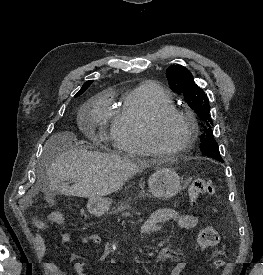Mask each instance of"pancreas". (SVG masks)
Returning <instances> with one entry per match:
<instances>
[{
	"mask_svg": "<svg viewBox=\"0 0 263 275\" xmlns=\"http://www.w3.org/2000/svg\"><path fill=\"white\" fill-rule=\"evenodd\" d=\"M131 209L130 205L128 204V202H123L118 208H117V211H121L122 214L121 216L122 217H132V214L131 212H129V210ZM124 210H127L126 212H124ZM136 215H140V213H135Z\"/></svg>",
	"mask_w": 263,
	"mask_h": 275,
	"instance_id": "cf45deb5",
	"label": "pancreas"
}]
</instances>
